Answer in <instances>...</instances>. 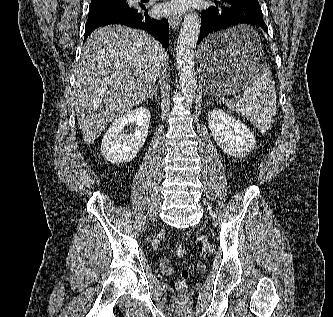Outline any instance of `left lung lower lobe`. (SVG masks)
Returning <instances> with one entry per match:
<instances>
[{
	"label": "left lung lower lobe",
	"instance_id": "1",
	"mask_svg": "<svg viewBox=\"0 0 333 317\" xmlns=\"http://www.w3.org/2000/svg\"><path fill=\"white\" fill-rule=\"evenodd\" d=\"M240 24L257 25L268 32L258 0H216L207 10L202 11L198 44L213 32ZM227 51L217 46L212 48L211 53L218 57L224 56Z\"/></svg>",
	"mask_w": 333,
	"mask_h": 317
}]
</instances>
